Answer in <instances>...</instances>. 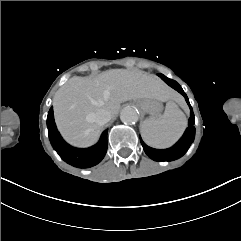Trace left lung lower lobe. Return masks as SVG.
I'll return each instance as SVG.
<instances>
[{
	"instance_id": "obj_1",
	"label": "left lung lower lobe",
	"mask_w": 241,
	"mask_h": 241,
	"mask_svg": "<svg viewBox=\"0 0 241 241\" xmlns=\"http://www.w3.org/2000/svg\"><path fill=\"white\" fill-rule=\"evenodd\" d=\"M158 76L165 81L169 86L177 90L180 94H182L185 97L186 102L188 103L190 107V118L188 122V128L186 129L184 135L181 137V139L172 147L167 149H154L149 146H147L142 139L140 138L141 144L143 146V149L145 153L153 160L155 161H171L175 160L179 157H181L189 148L191 143L194 140L195 136V127H194V113L193 109L189 103L188 97L183 91L182 87L172 79L167 78L163 74H158Z\"/></svg>"
}]
</instances>
